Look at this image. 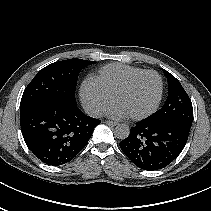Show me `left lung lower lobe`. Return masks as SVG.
I'll return each instance as SVG.
<instances>
[{
	"mask_svg": "<svg viewBox=\"0 0 211 211\" xmlns=\"http://www.w3.org/2000/svg\"><path fill=\"white\" fill-rule=\"evenodd\" d=\"M190 128L178 122L145 119L131 128L120 148L137 167L148 171L162 169L182 152Z\"/></svg>",
	"mask_w": 211,
	"mask_h": 211,
	"instance_id": "1",
	"label": "left lung lower lobe"
}]
</instances>
